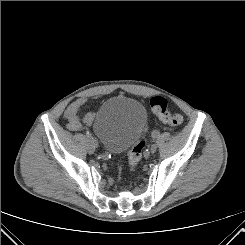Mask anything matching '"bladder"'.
Returning <instances> with one entry per match:
<instances>
[{
    "label": "bladder",
    "mask_w": 245,
    "mask_h": 245,
    "mask_svg": "<svg viewBox=\"0 0 245 245\" xmlns=\"http://www.w3.org/2000/svg\"><path fill=\"white\" fill-rule=\"evenodd\" d=\"M145 124L143 105L135 99L118 96L99 107L94 116L93 130L108 150L120 153L142 135Z\"/></svg>",
    "instance_id": "31cf9c89"
}]
</instances>
